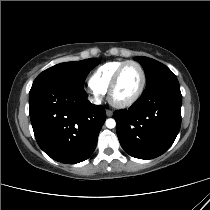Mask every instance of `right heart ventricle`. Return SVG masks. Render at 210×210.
I'll use <instances>...</instances> for the list:
<instances>
[{"instance_id":"right-heart-ventricle-1","label":"right heart ventricle","mask_w":210,"mask_h":210,"mask_svg":"<svg viewBox=\"0 0 210 210\" xmlns=\"http://www.w3.org/2000/svg\"><path fill=\"white\" fill-rule=\"evenodd\" d=\"M125 61H109L99 66L90 76L89 84L101 94L107 92L110 82L118 67Z\"/></svg>"}]
</instances>
